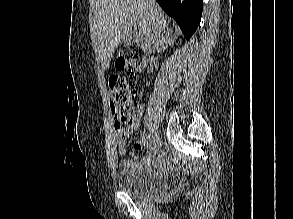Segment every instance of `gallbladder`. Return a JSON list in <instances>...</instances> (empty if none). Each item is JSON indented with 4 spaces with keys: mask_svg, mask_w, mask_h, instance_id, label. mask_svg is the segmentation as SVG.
Here are the masks:
<instances>
[{
    "mask_svg": "<svg viewBox=\"0 0 293 219\" xmlns=\"http://www.w3.org/2000/svg\"><path fill=\"white\" fill-rule=\"evenodd\" d=\"M124 47L133 46L135 43V34H130L122 40Z\"/></svg>",
    "mask_w": 293,
    "mask_h": 219,
    "instance_id": "bac80fb5",
    "label": "gallbladder"
}]
</instances>
